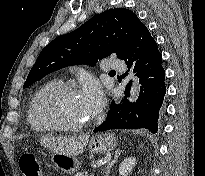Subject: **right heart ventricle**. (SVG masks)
<instances>
[{
    "label": "right heart ventricle",
    "instance_id": "e07e8e85",
    "mask_svg": "<svg viewBox=\"0 0 205 176\" xmlns=\"http://www.w3.org/2000/svg\"><path fill=\"white\" fill-rule=\"evenodd\" d=\"M54 83H55V82H54L53 80L44 83L42 86H40V87L34 92V94L32 95V97L30 98V100H29V102H28L26 119H27V122H28L30 128H31L34 132L43 133V132H46V131L49 130V128L40 125V124L35 120L33 110H34V105H35V102H36V99L38 98V96H39L45 89H47L48 87H50V86L53 85Z\"/></svg>",
    "mask_w": 205,
    "mask_h": 176
}]
</instances>
